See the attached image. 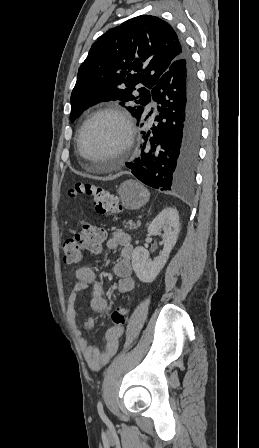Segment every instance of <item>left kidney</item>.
<instances>
[{
	"mask_svg": "<svg viewBox=\"0 0 259 448\" xmlns=\"http://www.w3.org/2000/svg\"><path fill=\"white\" fill-rule=\"evenodd\" d=\"M179 228V214L176 208H164L151 222L148 234L161 236L162 240H164V248L160 256L154 258L153 262L150 260L149 252L146 248L138 246V248L133 250L132 266L140 282L150 284L158 276L160 270L164 268L169 254L177 242ZM162 230L164 234H161Z\"/></svg>",
	"mask_w": 259,
	"mask_h": 448,
	"instance_id": "left-kidney-1",
	"label": "left kidney"
}]
</instances>
